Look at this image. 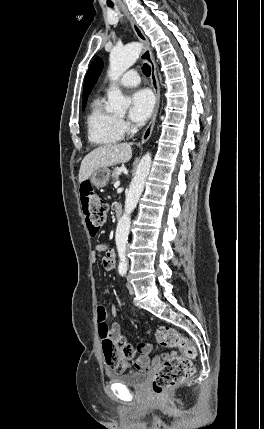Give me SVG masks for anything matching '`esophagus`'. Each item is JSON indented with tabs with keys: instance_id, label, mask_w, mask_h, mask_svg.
I'll return each instance as SVG.
<instances>
[{
	"instance_id": "34e87169",
	"label": "esophagus",
	"mask_w": 264,
	"mask_h": 429,
	"mask_svg": "<svg viewBox=\"0 0 264 429\" xmlns=\"http://www.w3.org/2000/svg\"><path fill=\"white\" fill-rule=\"evenodd\" d=\"M121 8H122L125 16L129 20L135 35L137 36V38L139 39V41L143 45V51L141 54V59L144 62H147L151 67V86L153 89V93L155 95V106H154V110H153L151 120H150L148 126L146 127L145 131L143 132L142 137H141V141L139 143V144H143L150 138L152 131H153V128H154V125H155V121H156V117H157V113H158V108H159V102H160L159 82H158V77H157L156 64H155V61H154L152 51H151V48L149 46V42H148L147 37L144 35L142 29L137 25V23L135 22L133 17L130 15L128 10L124 6H121Z\"/></svg>"
}]
</instances>
